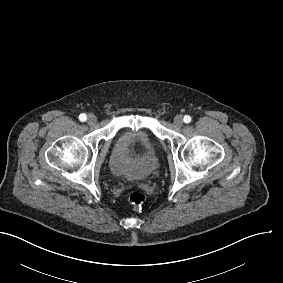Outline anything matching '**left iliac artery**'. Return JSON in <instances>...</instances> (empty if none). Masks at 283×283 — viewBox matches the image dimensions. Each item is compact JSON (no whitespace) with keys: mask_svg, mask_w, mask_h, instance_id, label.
Listing matches in <instances>:
<instances>
[{"mask_svg":"<svg viewBox=\"0 0 283 283\" xmlns=\"http://www.w3.org/2000/svg\"><path fill=\"white\" fill-rule=\"evenodd\" d=\"M183 120H184L185 123H190L191 117L189 115H185Z\"/></svg>","mask_w":283,"mask_h":283,"instance_id":"44dca946","label":"left iliac artery"}]
</instances>
